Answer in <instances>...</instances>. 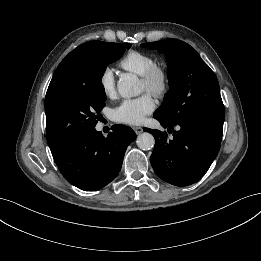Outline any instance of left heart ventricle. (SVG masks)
I'll return each mask as SVG.
<instances>
[{
  "label": "left heart ventricle",
  "mask_w": 261,
  "mask_h": 261,
  "mask_svg": "<svg viewBox=\"0 0 261 261\" xmlns=\"http://www.w3.org/2000/svg\"><path fill=\"white\" fill-rule=\"evenodd\" d=\"M142 90H143V91H146V88H145V85H144L143 82H142Z\"/></svg>",
  "instance_id": "obj_1"
}]
</instances>
